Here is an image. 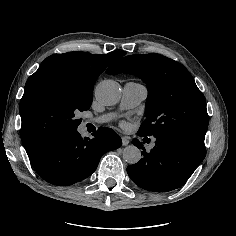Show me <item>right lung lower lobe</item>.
<instances>
[{"label": "right lung lower lobe", "instance_id": "right-lung-lower-lobe-1", "mask_svg": "<svg viewBox=\"0 0 236 236\" xmlns=\"http://www.w3.org/2000/svg\"><path fill=\"white\" fill-rule=\"evenodd\" d=\"M94 138H82L77 130L49 139L28 154L35 171L47 182L66 186L89 177L100 158L119 148L122 140L111 128L100 127Z\"/></svg>", "mask_w": 236, "mask_h": 236}]
</instances>
